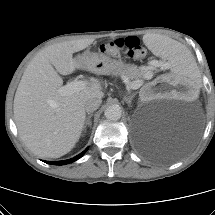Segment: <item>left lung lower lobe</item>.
I'll use <instances>...</instances> for the list:
<instances>
[{"label":"left lung lower lobe","mask_w":215,"mask_h":215,"mask_svg":"<svg viewBox=\"0 0 215 215\" xmlns=\"http://www.w3.org/2000/svg\"><path fill=\"white\" fill-rule=\"evenodd\" d=\"M153 154L158 156V157H163V158H169V157H173L176 155L172 151V149L166 145H163L162 147L155 150Z\"/></svg>","instance_id":"1"}]
</instances>
